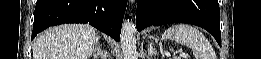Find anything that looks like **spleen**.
<instances>
[{
	"label": "spleen",
	"mask_w": 261,
	"mask_h": 59,
	"mask_svg": "<svg viewBox=\"0 0 261 59\" xmlns=\"http://www.w3.org/2000/svg\"><path fill=\"white\" fill-rule=\"evenodd\" d=\"M162 39L173 40L187 46L196 59H216L215 52L204 34L189 24L169 27L162 35Z\"/></svg>",
	"instance_id": "3e777b00"
}]
</instances>
